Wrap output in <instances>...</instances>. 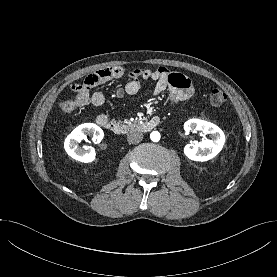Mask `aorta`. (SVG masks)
Returning <instances> with one entry per match:
<instances>
[{"label":"aorta","mask_w":277,"mask_h":277,"mask_svg":"<svg viewBox=\"0 0 277 277\" xmlns=\"http://www.w3.org/2000/svg\"><path fill=\"white\" fill-rule=\"evenodd\" d=\"M150 139L153 141V142H158L160 140V133L157 132V131H153L151 134H150Z\"/></svg>","instance_id":"obj_1"}]
</instances>
